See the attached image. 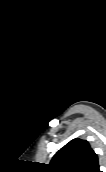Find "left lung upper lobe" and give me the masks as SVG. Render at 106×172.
<instances>
[{
    "label": "left lung upper lobe",
    "instance_id": "obj_1",
    "mask_svg": "<svg viewBox=\"0 0 106 172\" xmlns=\"http://www.w3.org/2000/svg\"><path fill=\"white\" fill-rule=\"evenodd\" d=\"M53 172H100L97 154L86 140L73 139L52 158Z\"/></svg>",
    "mask_w": 106,
    "mask_h": 172
}]
</instances>
